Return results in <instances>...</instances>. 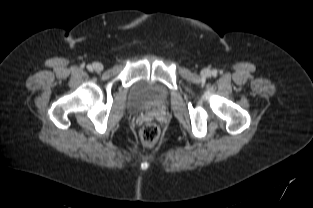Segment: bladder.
Returning <instances> with one entry per match:
<instances>
[{"mask_svg":"<svg viewBox=\"0 0 313 208\" xmlns=\"http://www.w3.org/2000/svg\"><path fill=\"white\" fill-rule=\"evenodd\" d=\"M167 97L166 88L156 82L138 81L129 93L128 105L132 110H141L164 102Z\"/></svg>","mask_w":313,"mask_h":208,"instance_id":"1","label":"bladder"}]
</instances>
